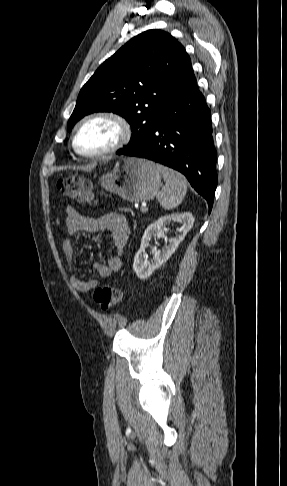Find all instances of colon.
Returning a JSON list of instances; mask_svg holds the SVG:
<instances>
[{
  "label": "colon",
  "instance_id": "colon-1",
  "mask_svg": "<svg viewBox=\"0 0 287 486\" xmlns=\"http://www.w3.org/2000/svg\"><path fill=\"white\" fill-rule=\"evenodd\" d=\"M57 190L68 198L89 203L94 199L93 185L90 180L79 175H72L57 181ZM122 298L118 288L102 286L94 291V300L103 311L116 306Z\"/></svg>",
  "mask_w": 287,
  "mask_h": 486
}]
</instances>
